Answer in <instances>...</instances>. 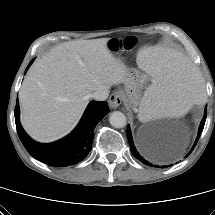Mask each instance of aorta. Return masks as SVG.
<instances>
[{
    "instance_id": "aorta-1",
    "label": "aorta",
    "mask_w": 215,
    "mask_h": 215,
    "mask_svg": "<svg viewBox=\"0 0 215 215\" xmlns=\"http://www.w3.org/2000/svg\"><path fill=\"white\" fill-rule=\"evenodd\" d=\"M126 122V116L120 111H114L109 116V123L115 128L125 127Z\"/></svg>"
}]
</instances>
